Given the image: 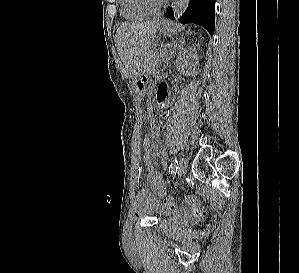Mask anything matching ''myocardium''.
<instances>
[{"label": "myocardium", "mask_w": 299, "mask_h": 273, "mask_svg": "<svg viewBox=\"0 0 299 273\" xmlns=\"http://www.w3.org/2000/svg\"><path fill=\"white\" fill-rule=\"evenodd\" d=\"M166 1L167 0H161L159 3L153 4L150 2V0H136L142 9L149 13H156L160 11L165 6Z\"/></svg>", "instance_id": "f54148a6"}]
</instances>
